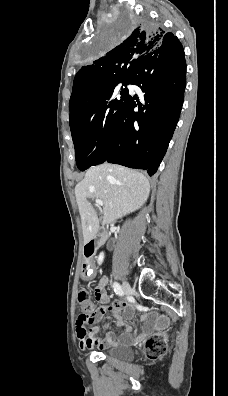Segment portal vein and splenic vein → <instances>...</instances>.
<instances>
[{
    "instance_id": "portal-vein-and-splenic-vein-1",
    "label": "portal vein and splenic vein",
    "mask_w": 228,
    "mask_h": 396,
    "mask_svg": "<svg viewBox=\"0 0 228 396\" xmlns=\"http://www.w3.org/2000/svg\"><path fill=\"white\" fill-rule=\"evenodd\" d=\"M97 206H103V202L99 199L95 200Z\"/></svg>"
}]
</instances>
